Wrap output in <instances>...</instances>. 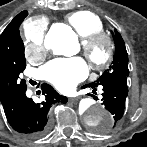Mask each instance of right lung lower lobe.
Here are the masks:
<instances>
[{"label": "right lung lower lobe", "mask_w": 147, "mask_h": 147, "mask_svg": "<svg viewBox=\"0 0 147 147\" xmlns=\"http://www.w3.org/2000/svg\"><path fill=\"white\" fill-rule=\"evenodd\" d=\"M41 89L45 99L40 103L26 97V89L0 99L11 127L31 138L42 136L48 131L50 127L48 112L51 105L58 101L67 102V97L59 95L48 84H42Z\"/></svg>", "instance_id": "right-lung-lower-lobe-1"}]
</instances>
